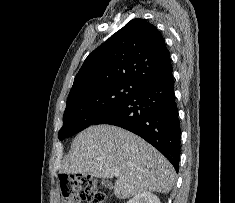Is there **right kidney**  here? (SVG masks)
<instances>
[{
	"label": "right kidney",
	"instance_id": "ca27d5eb",
	"mask_svg": "<svg viewBox=\"0 0 235 203\" xmlns=\"http://www.w3.org/2000/svg\"><path fill=\"white\" fill-rule=\"evenodd\" d=\"M127 203H160V200L156 195L146 191L136 194Z\"/></svg>",
	"mask_w": 235,
	"mask_h": 203
}]
</instances>
